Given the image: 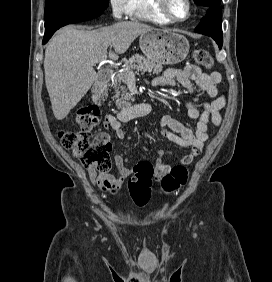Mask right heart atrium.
Wrapping results in <instances>:
<instances>
[{
  "label": "right heart atrium",
  "mask_w": 272,
  "mask_h": 282,
  "mask_svg": "<svg viewBox=\"0 0 272 282\" xmlns=\"http://www.w3.org/2000/svg\"><path fill=\"white\" fill-rule=\"evenodd\" d=\"M110 13L114 20L130 17L134 12L132 0H108Z\"/></svg>",
  "instance_id": "obj_1"
}]
</instances>
